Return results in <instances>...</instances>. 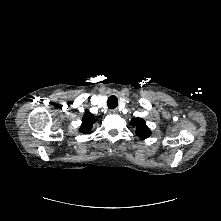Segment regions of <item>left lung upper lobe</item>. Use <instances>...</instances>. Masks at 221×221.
<instances>
[{
	"label": "left lung upper lobe",
	"instance_id": "obj_1",
	"mask_svg": "<svg viewBox=\"0 0 221 221\" xmlns=\"http://www.w3.org/2000/svg\"><path fill=\"white\" fill-rule=\"evenodd\" d=\"M131 125L136 128V134L142 140L148 138L151 135L150 129L147 127L144 119L136 118L131 121Z\"/></svg>",
	"mask_w": 221,
	"mask_h": 221
}]
</instances>
